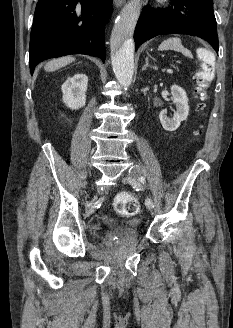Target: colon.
I'll return each mask as SVG.
<instances>
[{
  "label": "colon",
  "instance_id": "5ec220e1",
  "mask_svg": "<svg viewBox=\"0 0 233 328\" xmlns=\"http://www.w3.org/2000/svg\"><path fill=\"white\" fill-rule=\"evenodd\" d=\"M201 61L200 70L195 76V96L198 101L197 110L202 111L207 99V89L215 73V58L211 51L202 49L198 53ZM115 211L126 217L134 216L138 213L140 205L135 196L130 193L119 194L114 201Z\"/></svg>",
  "mask_w": 233,
  "mask_h": 328
}]
</instances>
